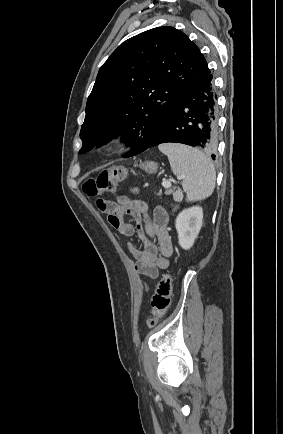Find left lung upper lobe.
Returning <instances> with one entry per match:
<instances>
[{
  "mask_svg": "<svg viewBox=\"0 0 283 434\" xmlns=\"http://www.w3.org/2000/svg\"><path fill=\"white\" fill-rule=\"evenodd\" d=\"M209 71L199 48L173 27L126 40L99 70L86 104L79 153L121 134L131 146L125 158L142 152L182 93Z\"/></svg>",
  "mask_w": 283,
  "mask_h": 434,
  "instance_id": "obj_1",
  "label": "left lung upper lobe"
}]
</instances>
